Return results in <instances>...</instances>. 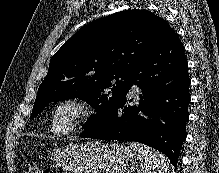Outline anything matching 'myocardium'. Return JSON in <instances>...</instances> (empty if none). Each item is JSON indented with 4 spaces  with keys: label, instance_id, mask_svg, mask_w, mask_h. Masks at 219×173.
I'll return each mask as SVG.
<instances>
[{
    "label": "myocardium",
    "instance_id": "f54148a6",
    "mask_svg": "<svg viewBox=\"0 0 219 173\" xmlns=\"http://www.w3.org/2000/svg\"><path fill=\"white\" fill-rule=\"evenodd\" d=\"M63 108H70L73 111V116L69 124L65 128H60L56 117L58 112ZM94 108L91 104L76 96H70L57 101L50 112V122L52 131L59 136L70 135L82 126H84L93 116Z\"/></svg>",
    "mask_w": 219,
    "mask_h": 173
}]
</instances>
